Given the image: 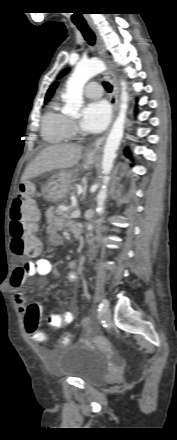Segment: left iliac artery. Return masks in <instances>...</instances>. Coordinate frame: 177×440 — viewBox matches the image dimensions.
Segmentation results:
<instances>
[{
	"instance_id": "obj_1",
	"label": "left iliac artery",
	"mask_w": 177,
	"mask_h": 440,
	"mask_svg": "<svg viewBox=\"0 0 177 440\" xmlns=\"http://www.w3.org/2000/svg\"><path fill=\"white\" fill-rule=\"evenodd\" d=\"M108 305H109L108 301H107L106 299H103V300L101 301V304H100V306H99L98 311H99L100 313H102V312L107 308Z\"/></svg>"
}]
</instances>
